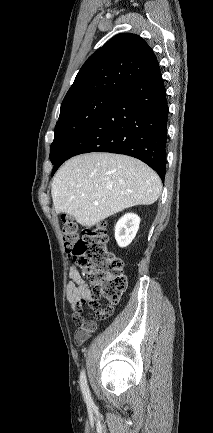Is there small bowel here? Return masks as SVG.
<instances>
[{
    "label": "small bowel",
    "instance_id": "c3829d8e",
    "mask_svg": "<svg viewBox=\"0 0 213 433\" xmlns=\"http://www.w3.org/2000/svg\"><path fill=\"white\" fill-rule=\"evenodd\" d=\"M68 276L69 282L66 286V297L72 309L77 313L80 311L83 304L92 301L93 297L90 288L75 266L70 267ZM96 328V322L87 321L84 328L77 329L75 333L76 343H84L96 330Z\"/></svg>",
    "mask_w": 213,
    "mask_h": 433
}]
</instances>
